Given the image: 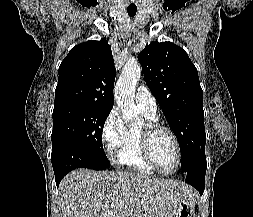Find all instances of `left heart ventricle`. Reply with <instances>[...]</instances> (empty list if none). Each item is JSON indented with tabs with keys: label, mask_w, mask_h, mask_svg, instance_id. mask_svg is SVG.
<instances>
[{
	"label": "left heart ventricle",
	"mask_w": 253,
	"mask_h": 217,
	"mask_svg": "<svg viewBox=\"0 0 253 217\" xmlns=\"http://www.w3.org/2000/svg\"><path fill=\"white\" fill-rule=\"evenodd\" d=\"M153 158L161 170L170 172L176 165V150L174 143L166 132L156 134L151 141Z\"/></svg>",
	"instance_id": "b2bd125f"
}]
</instances>
